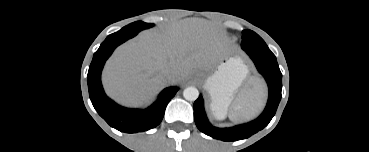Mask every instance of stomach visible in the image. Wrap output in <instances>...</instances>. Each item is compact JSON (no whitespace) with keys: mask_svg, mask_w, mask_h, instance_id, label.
Returning <instances> with one entry per match:
<instances>
[{"mask_svg":"<svg viewBox=\"0 0 369 152\" xmlns=\"http://www.w3.org/2000/svg\"><path fill=\"white\" fill-rule=\"evenodd\" d=\"M246 75L247 68L241 60L229 58L207 78L204 88L212 98L211 108L215 117L223 119L226 116L228 106Z\"/></svg>","mask_w":369,"mask_h":152,"instance_id":"0dacf381","label":"stomach"}]
</instances>
